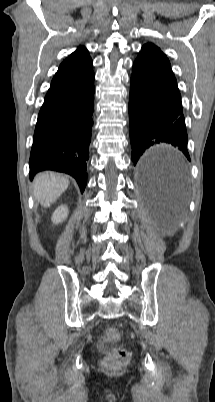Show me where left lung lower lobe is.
Returning a JSON list of instances; mask_svg holds the SVG:
<instances>
[{
  "instance_id": "0a47b994",
  "label": "left lung lower lobe",
  "mask_w": 215,
  "mask_h": 402,
  "mask_svg": "<svg viewBox=\"0 0 215 402\" xmlns=\"http://www.w3.org/2000/svg\"><path fill=\"white\" fill-rule=\"evenodd\" d=\"M129 121L134 166L147 149L162 144L177 147L190 160L181 95L171 68L136 58L131 75ZM140 174L161 195L162 205L172 209L178 191L161 184L158 173L146 169L145 163L140 164Z\"/></svg>"
}]
</instances>
